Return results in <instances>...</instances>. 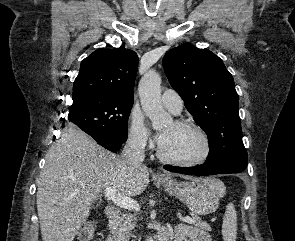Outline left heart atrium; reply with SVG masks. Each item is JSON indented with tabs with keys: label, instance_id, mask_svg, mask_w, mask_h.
<instances>
[{
	"label": "left heart atrium",
	"instance_id": "obj_1",
	"mask_svg": "<svg viewBox=\"0 0 295 241\" xmlns=\"http://www.w3.org/2000/svg\"><path fill=\"white\" fill-rule=\"evenodd\" d=\"M164 138H165V135L161 133L159 135V141L162 142L164 140Z\"/></svg>",
	"mask_w": 295,
	"mask_h": 241
}]
</instances>
